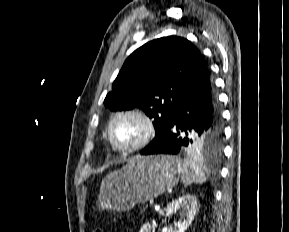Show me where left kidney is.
Wrapping results in <instances>:
<instances>
[{
	"mask_svg": "<svg viewBox=\"0 0 289 232\" xmlns=\"http://www.w3.org/2000/svg\"><path fill=\"white\" fill-rule=\"evenodd\" d=\"M166 211L169 215L179 211L180 219L174 222L173 226H170L165 232H185L197 213V199L193 195H183L168 204ZM151 231H153V227L149 223H145L140 230V232Z\"/></svg>",
	"mask_w": 289,
	"mask_h": 232,
	"instance_id": "1",
	"label": "left kidney"
}]
</instances>
